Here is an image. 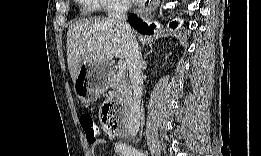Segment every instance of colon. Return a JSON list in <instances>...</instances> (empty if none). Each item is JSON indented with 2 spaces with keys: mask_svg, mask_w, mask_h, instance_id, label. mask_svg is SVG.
I'll use <instances>...</instances> for the list:
<instances>
[{
  "mask_svg": "<svg viewBox=\"0 0 261 156\" xmlns=\"http://www.w3.org/2000/svg\"><path fill=\"white\" fill-rule=\"evenodd\" d=\"M101 123L103 128L111 134L122 135L125 129L121 122L120 110L110 103L103 105L101 110ZM80 124L85 132L86 139L90 144H96L101 135V127L89 114L80 117Z\"/></svg>",
  "mask_w": 261,
  "mask_h": 156,
  "instance_id": "colon-1",
  "label": "colon"
}]
</instances>
